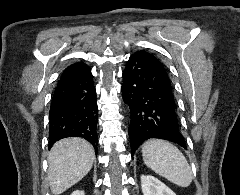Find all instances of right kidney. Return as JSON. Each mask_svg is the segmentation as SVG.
I'll list each match as a JSON object with an SVG mask.
<instances>
[{
  "mask_svg": "<svg viewBox=\"0 0 240 195\" xmlns=\"http://www.w3.org/2000/svg\"><path fill=\"white\" fill-rule=\"evenodd\" d=\"M71 195H84V191H79V189H76V191H73Z\"/></svg>",
  "mask_w": 240,
  "mask_h": 195,
  "instance_id": "obj_1",
  "label": "right kidney"
}]
</instances>
